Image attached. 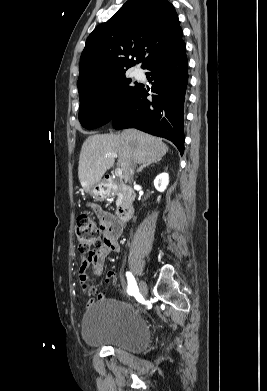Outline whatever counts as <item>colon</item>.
I'll use <instances>...</instances> for the list:
<instances>
[{"label":"colon","mask_w":267,"mask_h":391,"mask_svg":"<svg viewBox=\"0 0 267 391\" xmlns=\"http://www.w3.org/2000/svg\"><path fill=\"white\" fill-rule=\"evenodd\" d=\"M102 233V226L98 225L89 214H80L75 224V235L79 252L88 255L95 254L102 246Z\"/></svg>","instance_id":"obj_1"}]
</instances>
